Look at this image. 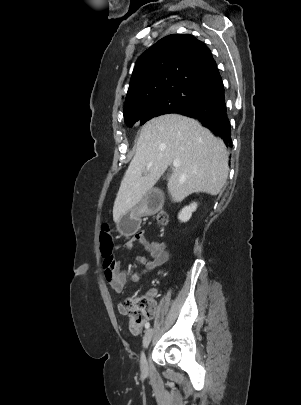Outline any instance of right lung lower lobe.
I'll return each instance as SVG.
<instances>
[{"mask_svg": "<svg viewBox=\"0 0 301 405\" xmlns=\"http://www.w3.org/2000/svg\"><path fill=\"white\" fill-rule=\"evenodd\" d=\"M172 113L199 120L204 127L220 137L226 146L232 147L231 125L227 115L223 85L201 101L177 108Z\"/></svg>", "mask_w": 301, "mask_h": 405, "instance_id": "1", "label": "right lung lower lobe"}]
</instances>
